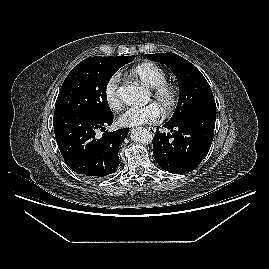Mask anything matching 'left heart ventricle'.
<instances>
[{"label": "left heart ventricle", "instance_id": "1", "mask_svg": "<svg viewBox=\"0 0 269 269\" xmlns=\"http://www.w3.org/2000/svg\"><path fill=\"white\" fill-rule=\"evenodd\" d=\"M157 103V102H156ZM157 105L161 108V104L160 103H157Z\"/></svg>", "mask_w": 269, "mask_h": 269}]
</instances>
